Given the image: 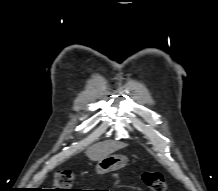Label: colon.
<instances>
[{
  "label": "colon",
  "instance_id": "5ec220e1",
  "mask_svg": "<svg viewBox=\"0 0 218 191\" xmlns=\"http://www.w3.org/2000/svg\"><path fill=\"white\" fill-rule=\"evenodd\" d=\"M143 183L151 191H165L166 181L162 173L157 171L145 172L142 175ZM75 182V175L71 170H64L55 175V191H78L72 188Z\"/></svg>",
  "mask_w": 218,
  "mask_h": 191
}]
</instances>
